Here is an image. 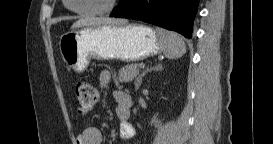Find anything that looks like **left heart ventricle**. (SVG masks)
I'll return each mask as SVG.
<instances>
[{
  "label": "left heart ventricle",
  "instance_id": "left-heart-ventricle-1",
  "mask_svg": "<svg viewBox=\"0 0 273 144\" xmlns=\"http://www.w3.org/2000/svg\"><path fill=\"white\" fill-rule=\"evenodd\" d=\"M110 0H73V6L80 10H96L108 4Z\"/></svg>",
  "mask_w": 273,
  "mask_h": 144
}]
</instances>
